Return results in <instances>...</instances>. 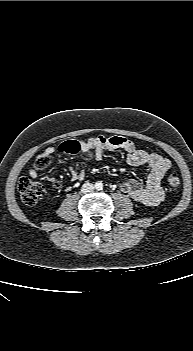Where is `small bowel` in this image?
<instances>
[{
	"mask_svg": "<svg viewBox=\"0 0 193 351\" xmlns=\"http://www.w3.org/2000/svg\"><path fill=\"white\" fill-rule=\"evenodd\" d=\"M121 149L126 152L127 163L131 166L146 165L149 167V174L146 183L142 185L138 180L129 179L119 183L120 190L132 198L146 206H155L164 198V191L161 181L165 173L170 169L171 162L157 154L150 153L145 150L138 149L134 142L124 136H103L97 135L87 140H67L61 141L55 147L49 146L38 155L36 161L45 155L56 153L58 156H66L67 154L84 155L86 152H93L96 160H100L104 151H114ZM70 179L74 183L84 180L85 173L78 170L74 166H68ZM29 175L32 178L38 177V169L36 163L29 169ZM50 182H55L53 177H47Z\"/></svg>",
	"mask_w": 193,
	"mask_h": 351,
	"instance_id": "obj_1",
	"label": "small bowel"
}]
</instances>
